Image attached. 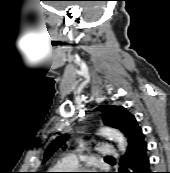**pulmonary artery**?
<instances>
[{"instance_id": "1", "label": "pulmonary artery", "mask_w": 170, "mask_h": 173, "mask_svg": "<svg viewBox=\"0 0 170 173\" xmlns=\"http://www.w3.org/2000/svg\"><path fill=\"white\" fill-rule=\"evenodd\" d=\"M98 155L99 156H117V150L110 145H104L99 147L98 149ZM69 163L72 167H75V165L77 164V160L76 158L72 155L69 157Z\"/></svg>"}]
</instances>
